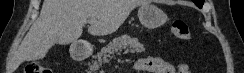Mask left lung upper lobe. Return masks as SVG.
Returning <instances> with one entry per match:
<instances>
[{
	"label": "left lung upper lobe",
	"mask_w": 244,
	"mask_h": 73,
	"mask_svg": "<svg viewBox=\"0 0 244 73\" xmlns=\"http://www.w3.org/2000/svg\"><path fill=\"white\" fill-rule=\"evenodd\" d=\"M193 2H195V4L201 8L204 3V0H193Z\"/></svg>",
	"instance_id": "left-lung-upper-lobe-1"
}]
</instances>
